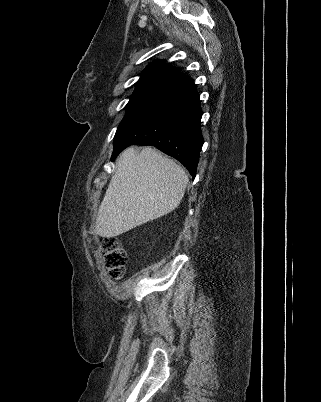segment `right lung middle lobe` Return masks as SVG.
Instances as JSON below:
<instances>
[{"instance_id":"right-lung-middle-lobe-1","label":"right lung middle lobe","mask_w":321,"mask_h":402,"mask_svg":"<svg viewBox=\"0 0 321 402\" xmlns=\"http://www.w3.org/2000/svg\"><path fill=\"white\" fill-rule=\"evenodd\" d=\"M173 88L162 84H148L137 87L125 106L126 114L116 131L115 137L162 102L171 93Z\"/></svg>"}]
</instances>
